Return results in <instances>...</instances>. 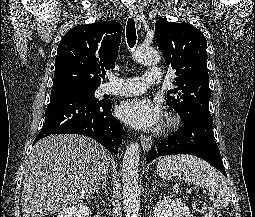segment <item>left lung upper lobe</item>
Returning <instances> with one entry per match:
<instances>
[{"instance_id": "1", "label": "left lung upper lobe", "mask_w": 255, "mask_h": 217, "mask_svg": "<svg viewBox=\"0 0 255 217\" xmlns=\"http://www.w3.org/2000/svg\"><path fill=\"white\" fill-rule=\"evenodd\" d=\"M156 43L166 66L176 70L174 89L168 91L167 104L182 122L209 112L210 88L207 71V41L203 33L189 23L159 19L155 23Z\"/></svg>"}]
</instances>
